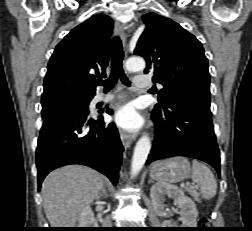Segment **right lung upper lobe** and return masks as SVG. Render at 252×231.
<instances>
[{
  "label": "right lung upper lobe",
  "mask_w": 252,
  "mask_h": 231,
  "mask_svg": "<svg viewBox=\"0 0 252 231\" xmlns=\"http://www.w3.org/2000/svg\"><path fill=\"white\" fill-rule=\"evenodd\" d=\"M112 29V19L98 14L64 37L48 63L42 101L63 95H95L94 74L105 76Z\"/></svg>",
  "instance_id": "cb5924a9"
}]
</instances>
